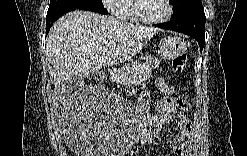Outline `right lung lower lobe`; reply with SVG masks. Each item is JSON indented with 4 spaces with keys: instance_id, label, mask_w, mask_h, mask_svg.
Instances as JSON below:
<instances>
[{
    "instance_id": "1",
    "label": "right lung lower lobe",
    "mask_w": 247,
    "mask_h": 156,
    "mask_svg": "<svg viewBox=\"0 0 247 156\" xmlns=\"http://www.w3.org/2000/svg\"><path fill=\"white\" fill-rule=\"evenodd\" d=\"M87 10V11H92V12H97L99 14H107V10L105 8H101V7H84V8H72V7H66V8H62L56 11H53L51 13H47L46 16V35L49 32L51 26L53 25V23L62 15L73 11V10Z\"/></svg>"
}]
</instances>
